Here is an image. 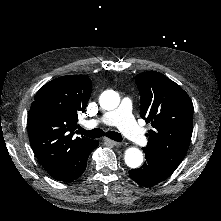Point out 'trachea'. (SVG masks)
Here are the masks:
<instances>
[{"label":"trachea","instance_id":"obj_1","mask_svg":"<svg viewBox=\"0 0 221 221\" xmlns=\"http://www.w3.org/2000/svg\"><path fill=\"white\" fill-rule=\"evenodd\" d=\"M77 134H81V135L87 136L89 138H100V137L106 135L108 138H110L114 141H122L123 140V137L121 136L120 133L115 132V131H108L105 133L100 128H94L92 130H85L81 126H78Z\"/></svg>","mask_w":221,"mask_h":221}]
</instances>
